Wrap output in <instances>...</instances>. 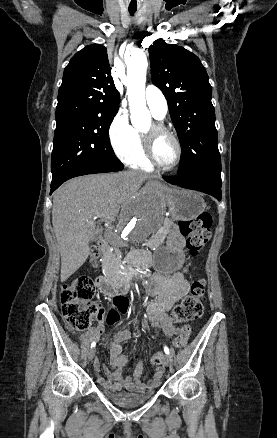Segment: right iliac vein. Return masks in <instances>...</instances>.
<instances>
[{
  "mask_svg": "<svg viewBox=\"0 0 277 438\" xmlns=\"http://www.w3.org/2000/svg\"><path fill=\"white\" fill-rule=\"evenodd\" d=\"M95 356V348H90L87 353V357L89 361H92Z\"/></svg>",
  "mask_w": 277,
  "mask_h": 438,
  "instance_id": "obj_1",
  "label": "right iliac vein"
}]
</instances>
